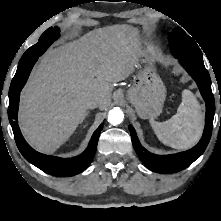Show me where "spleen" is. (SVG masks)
<instances>
[{"label": "spleen", "instance_id": "1", "mask_svg": "<svg viewBox=\"0 0 221 221\" xmlns=\"http://www.w3.org/2000/svg\"><path fill=\"white\" fill-rule=\"evenodd\" d=\"M150 124L158 139L175 149H188L200 139L204 128V114L195 96L189 90L182 92L177 113L169 120Z\"/></svg>", "mask_w": 221, "mask_h": 221}]
</instances>
